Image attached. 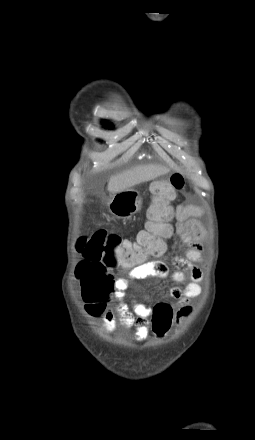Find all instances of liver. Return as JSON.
I'll return each mask as SVG.
<instances>
[{
  "mask_svg": "<svg viewBox=\"0 0 255 440\" xmlns=\"http://www.w3.org/2000/svg\"><path fill=\"white\" fill-rule=\"evenodd\" d=\"M169 171V168L162 165L150 164L137 166L112 176L108 182L107 190L112 194L118 193L137 184L165 175Z\"/></svg>",
  "mask_w": 255,
  "mask_h": 440,
  "instance_id": "6515ba94",
  "label": "liver"
}]
</instances>
